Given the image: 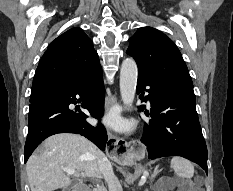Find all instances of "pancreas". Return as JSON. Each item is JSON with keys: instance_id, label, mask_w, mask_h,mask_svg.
<instances>
[{"instance_id": "pancreas-1", "label": "pancreas", "mask_w": 233, "mask_h": 191, "mask_svg": "<svg viewBox=\"0 0 233 191\" xmlns=\"http://www.w3.org/2000/svg\"><path fill=\"white\" fill-rule=\"evenodd\" d=\"M93 191H105L102 187L96 188Z\"/></svg>"}]
</instances>
